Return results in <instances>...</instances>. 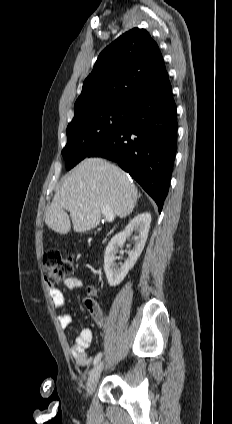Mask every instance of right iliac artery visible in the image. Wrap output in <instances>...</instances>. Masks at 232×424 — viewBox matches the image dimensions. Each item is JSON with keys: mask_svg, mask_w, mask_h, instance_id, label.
<instances>
[{"mask_svg": "<svg viewBox=\"0 0 232 424\" xmlns=\"http://www.w3.org/2000/svg\"><path fill=\"white\" fill-rule=\"evenodd\" d=\"M101 357H102V352H99V353L95 356V359H94L93 364H94V365H96V364L100 361Z\"/></svg>", "mask_w": 232, "mask_h": 424, "instance_id": "82829eb1", "label": "right iliac artery"}]
</instances>
